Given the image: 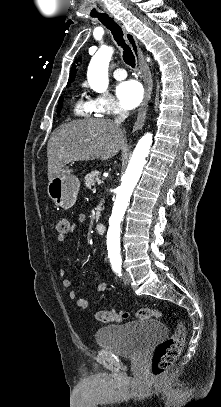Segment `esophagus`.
I'll return each instance as SVG.
<instances>
[{
  "instance_id": "obj_1",
  "label": "esophagus",
  "mask_w": 221,
  "mask_h": 407,
  "mask_svg": "<svg viewBox=\"0 0 221 407\" xmlns=\"http://www.w3.org/2000/svg\"><path fill=\"white\" fill-rule=\"evenodd\" d=\"M116 22L121 27V29L126 37V40L128 41V43L134 53V56L137 61V67L140 70V73L142 74V76L145 80L146 87H145L144 99H143V102L139 109L136 121L133 125V131L135 132V131L140 130L144 125V121H145L146 113H147V109H148V102L150 101V98H151L153 82H152L150 70L147 67V65L144 63V60L142 57V52L138 46L135 36L126 29V27L122 21L116 20Z\"/></svg>"
}]
</instances>
